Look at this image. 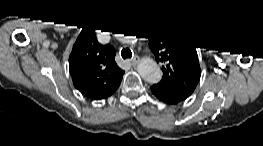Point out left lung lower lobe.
Instances as JSON below:
<instances>
[{
	"label": "left lung lower lobe",
	"mask_w": 263,
	"mask_h": 146,
	"mask_svg": "<svg viewBox=\"0 0 263 146\" xmlns=\"http://www.w3.org/2000/svg\"><path fill=\"white\" fill-rule=\"evenodd\" d=\"M152 93L161 101L167 104H177L184 99H181L176 94H174L166 85L162 83L154 84L151 87Z\"/></svg>",
	"instance_id": "1"
}]
</instances>
